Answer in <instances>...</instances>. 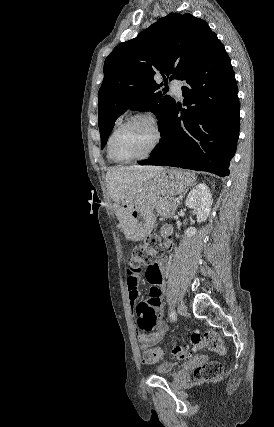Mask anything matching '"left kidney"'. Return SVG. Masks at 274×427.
<instances>
[{"instance_id": "5707ae66", "label": "left kidney", "mask_w": 274, "mask_h": 427, "mask_svg": "<svg viewBox=\"0 0 274 427\" xmlns=\"http://www.w3.org/2000/svg\"><path fill=\"white\" fill-rule=\"evenodd\" d=\"M212 204V194H210V190L206 184L195 186L192 192L188 194L185 202V206L192 208L195 214H197V221L199 223L209 217ZM196 231L195 227H188L187 231H185V237H193ZM176 237H179L178 233H176Z\"/></svg>"}]
</instances>
